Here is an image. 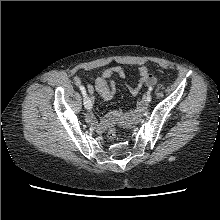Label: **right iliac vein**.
<instances>
[{"label": "right iliac vein", "instance_id": "63e3f726", "mask_svg": "<svg viewBox=\"0 0 220 220\" xmlns=\"http://www.w3.org/2000/svg\"><path fill=\"white\" fill-rule=\"evenodd\" d=\"M84 106L87 110H90L92 108L91 99L87 96L84 97Z\"/></svg>", "mask_w": 220, "mask_h": 220}]
</instances>
